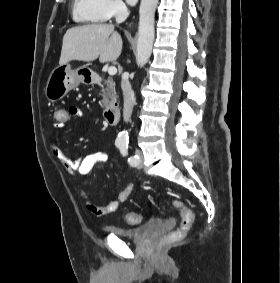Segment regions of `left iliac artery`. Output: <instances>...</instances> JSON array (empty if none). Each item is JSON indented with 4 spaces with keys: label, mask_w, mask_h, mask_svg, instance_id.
Returning a JSON list of instances; mask_svg holds the SVG:
<instances>
[{
    "label": "left iliac artery",
    "mask_w": 280,
    "mask_h": 283,
    "mask_svg": "<svg viewBox=\"0 0 280 283\" xmlns=\"http://www.w3.org/2000/svg\"><path fill=\"white\" fill-rule=\"evenodd\" d=\"M118 148L123 156L128 155V144H121L118 146ZM138 160H139V157L137 155L131 156L128 158V162L131 166H136V164L138 163Z\"/></svg>",
    "instance_id": "left-iliac-artery-1"
}]
</instances>
